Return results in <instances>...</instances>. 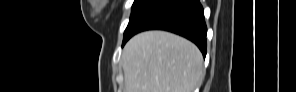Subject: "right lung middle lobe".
I'll list each match as a JSON object with an SVG mask.
<instances>
[{
  "instance_id": "obj_1",
  "label": "right lung middle lobe",
  "mask_w": 296,
  "mask_h": 92,
  "mask_svg": "<svg viewBox=\"0 0 296 92\" xmlns=\"http://www.w3.org/2000/svg\"><path fill=\"white\" fill-rule=\"evenodd\" d=\"M155 0H135L132 6V13L130 16V20L128 26L124 32V36H126L133 24L140 17V15L154 2Z\"/></svg>"
}]
</instances>
